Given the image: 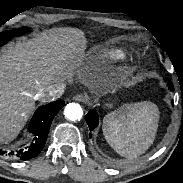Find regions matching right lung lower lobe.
I'll list each match as a JSON object with an SVG mask.
<instances>
[{
  "label": "right lung lower lobe",
  "mask_w": 183,
  "mask_h": 183,
  "mask_svg": "<svg viewBox=\"0 0 183 183\" xmlns=\"http://www.w3.org/2000/svg\"><path fill=\"white\" fill-rule=\"evenodd\" d=\"M63 106L64 101L58 100L41 106L36 110L28 128V131L33 134L35 141L31 146H29L28 150H20L16 155L17 158L26 160L37 156L41 152L46 143L51 122ZM5 153V151L0 149V154ZM8 155L10 157L15 156L13 151Z\"/></svg>",
  "instance_id": "obj_1"
}]
</instances>
